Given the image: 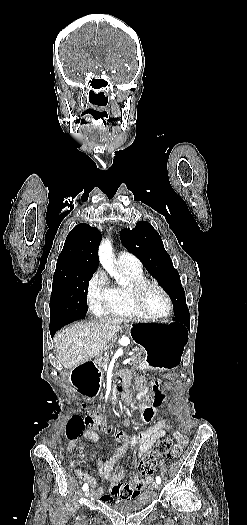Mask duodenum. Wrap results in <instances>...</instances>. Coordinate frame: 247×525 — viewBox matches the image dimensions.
Segmentation results:
<instances>
[{
    "label": "duodenum",
    "instance_id": "410a0bca",
    "mask_svg": "<svg viewBox=\"0 0 247 525\" xmlns=\"http://www.w3.org/2000/svg\"><path fill=\"white\" fill-rule=\"evenodd\" d=\"M102 373L98 365L93 361H85L78 365L71 373L70 380L73 386L84 396L97 394L101 384ZM119 395L118 389L111 392L112 400ZM129 400L135 397L134 393L126 396Z\"/></svg>",
    "mask_w": 247,
    "mask_h": 525
}]
</instances>
